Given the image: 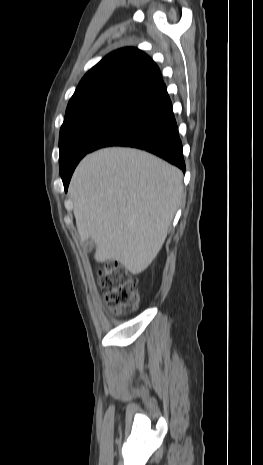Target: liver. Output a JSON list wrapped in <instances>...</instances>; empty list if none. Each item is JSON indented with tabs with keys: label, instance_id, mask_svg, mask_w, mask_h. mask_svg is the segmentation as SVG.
Returning <instances> with one entry per match:
<instances>
[{
	"label": "liver",
	"instance_id": "obj_1",
	"mask_svg": "<svg viewBox=\"0 0 263 465\" xmlns=\"http://www.w3.org/2000/svg\"><path fill=\"white\" fill-rule=\"evenodd\" d=\"M182 180L178 168L137 149L105 148L84 157L69 194L81 241L96 244L95 260L143 272L167 237Z\"/></svg>",
	"mask_w": 263,
	"mask_h": 465
}]
</instances>
